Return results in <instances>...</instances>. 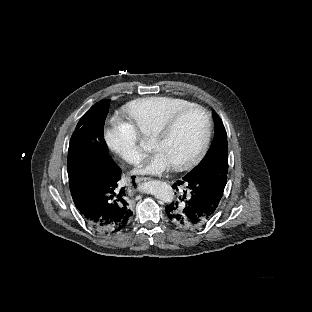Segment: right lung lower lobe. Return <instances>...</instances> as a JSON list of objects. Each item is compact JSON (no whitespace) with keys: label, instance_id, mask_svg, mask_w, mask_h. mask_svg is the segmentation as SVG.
Wrapping results in <instances>:
<instances>
[{"label":"right lung lower lobe","instance_id":"98d812e1","mask_svg":"<svg viewBox=\"0 0 312 312\" xmlns=\"http://www.w3.org/2000/svg\"><path fill=\"white\" fill-rule=\"evenodd\" d=\"M69 183L75 206L87 224L104 234L126 230L132 217L130 197L118 181L121 172L110 160L94 163Z\"/></svg>","mask_w":312,"mask_h":312}]
</instances>
